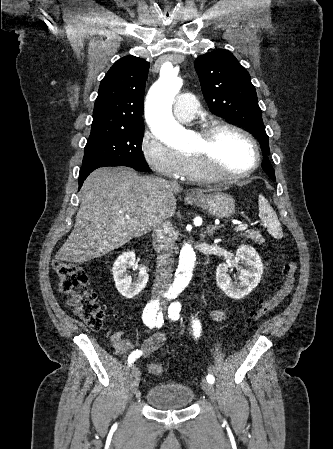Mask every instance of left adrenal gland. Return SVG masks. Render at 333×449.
<instances>
[{
	"mask_svg": "<svg viewBox=\"0 0 333 449\" xmlns=\"http://www.w3.org/2000/svg\"><path fill=\"white\" fill-rule=\"evenodd\" d=\"M216 228H217V226H211V225L208 226V227H207V233H208V235H209V236H213V234H214Z\"/></svg>",
	"mask_w": 333,
	"mask_h": 449,
	"instance_id": "1",
	"label": "left adrenal gland"
}]
</instances>
